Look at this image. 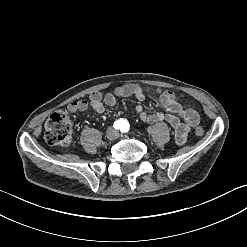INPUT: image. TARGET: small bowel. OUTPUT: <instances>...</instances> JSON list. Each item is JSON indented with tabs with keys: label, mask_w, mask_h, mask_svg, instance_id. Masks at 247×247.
Returning a JSON list of instances; mask_svg holds the SVG:
<instances>
[{
	"label": "small bowel",
	"mask_w": 247,
	"mask_h": 247,
	"mask_svg": "<svg viewBox=\"0 0 247 247\" xmlns=\"http://www.w3.org/2000/svg\"><path fill=\"white\" fill-rule=\"evenodd\" d=\"M137 84H124L114 89L113 93L102 95L100 92L91 94L88 100H78L68 104L67 110L70 113H78L92 108L98 113H103L105 106H115L117 97H135L143 101L137 94ZM160 104L168 111L147 113L141 105L136 106V112L144 123H156L166 121L174 129V138L177 145L181 146L186 142L189 128L182 124L180 117L186 118V122L191 128L196 129L200 125V116L195 109L188 107L182 102V95L173 91H164L160 95Z\"/></svg>",
	"instance_id": "small-bowel-1"
}]
</instances>
